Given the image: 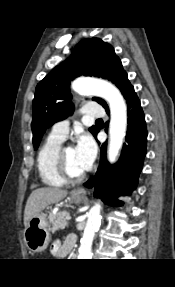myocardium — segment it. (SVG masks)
<instances>
[{
  "instance_id": "f54148a6",
  "label": "myocardium",
  "mask_w": 175,
  "mask_h": 287,
  "mask_svg": "<svg viewBox=\"0 0 175 287\" xmlns=\"http://www.w3.org/2000/svg\"><path fill=\"white\" fill-rule=\"evenodd\" d=\"M67 147H70L68 145L60 146L57 154H56V166L57 170L60 174V176L66 181V182H79L86 176V171L80 173V174H72L66 163L65 159V150Z\"/></svg>"
}]
</instances>
